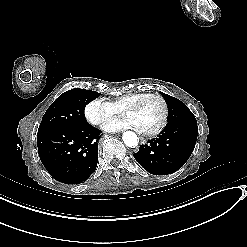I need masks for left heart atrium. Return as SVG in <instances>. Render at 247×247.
<instances>
[{
  "label": "left heart atrium",
  "instance_id": "39dd6f15",
  "mask_svg": "<svg viewBox=\"0 0 247 247\" xmlns=\"http://www.w3.org/2000/svg\"><path fill=\"white\" fill-rule=\"evenodd\" d=\"M127 128H133V129L140 130L139 125L137 124L136 120L133 117H127L125 119H121L117 121L116 123H113L107 127V129L110 131H118V130L127 129Z\"/></svg>",
  "mask_w": 247,
  "mask_h": 247
}]
</instances>
